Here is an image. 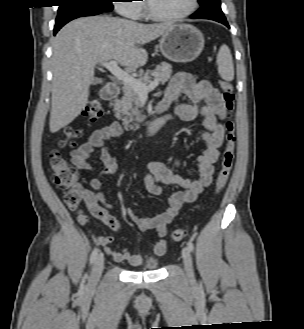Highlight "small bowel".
Returning a JSON list of instances; mask_svg holds the SVG:
<instances>
[{
  "mask_svg": "<svg viewBox=\"0 0 304 329\" xmlns=\"http://www.w3.org/2000/svg\"><path fill=\"white\" fill-rule=\"evenodd\" d=\"M161 105L164 109L172 107L174 116L183 122H190L201 117L203 122L202 140L205 143L203 154L197 158L199 177L190 179L174 173L161 162H149L144 178L146 189L153 195H161L165 187L176 186L179 189L172 192L167 208L154 217H139L131 209L125 213L131 222L140 230L155 229L159 239L151 244L153 255H162L166 251L167 225L178 214L184 203L194 202L203 189L212 182L214 163L218 160L219 149L223 143L225 128L223 120L226 117L221 93L208 81L196 82L188 73L179 72L172 78ZM122 133V126L114 121L111 124L93 131L89 138L77 149L71 152L72 163L82 171L92 170L90 159L95 151H99L103 168L90 181V188L81 187L84 192V202L89 213L101 220L112 232L120 230L118 220L109 214L107 208L112 207L102 191L105 177L115 174L119 169L117 160L108 152L106 143ZM178 164V160L175 161ZM80 225L89 224L90 220L82 212L78 213ZM96 242L105 253L116 261H128L139 265L144 257L130 253L127 249L115 251L111 248L113 236H96Z\"/></svg>",
  "mask_w": 304,
  "mask_h": 329,
  "instance_id": "c3829d8e",
  "label": "small bowel"
}]
</instances>
